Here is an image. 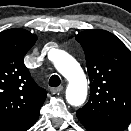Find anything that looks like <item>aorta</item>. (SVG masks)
Wrapping results in <instances>:
<instances>
[{"mask_svg":"<svg viewBox=\"0 0 131 131\" xmlns=\"http://www.w3.org/2000/svg\"><path fill=\"white\" fill-rule=\"evenodd\" d=\"M53 63L69 82L66 89L68 103L73 106L83 104L87 97V80L78 62L66 52L56 50Z\"/></svg>","mask_w":131,"mask_h":131,"instance_id":"1","label":"aorta"}]
</instances>
